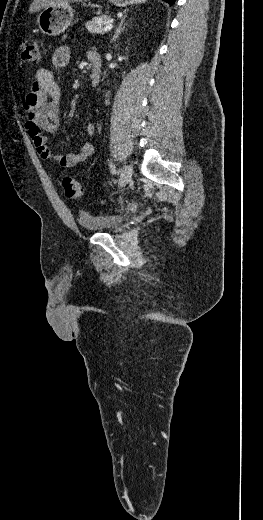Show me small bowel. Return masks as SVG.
Returning a JSON list of instances; mask_svg holds the SVG:
<instances>
[{
    "label": "small bowel",
    "mask_w": 263,
    "mask_h": 520,
    "mask_svg": "<svg viewBox=\"0 0 263 520\" xmlns=\"http://www.w3.org/2000/svg\"><path fill=\"white\" fill-rule=\"evenodd\" d=\"M71 51L68 46L58 47L52 55V65L59 70L70 61ZM61 88L52 70L41 68L36 73L35 81L24 99L26 110L25 128L31 138L38 155L46 161L54 162L63 168H72L91 158L94 146L89 140H84L81 148L75 153L56 154L47 144L43 131L54 133L60 125ZM95 124L89 122L86 126L88 136L95 133Z\"/></svg>",
    "instance_id": "c3829d8e"
}]
</instances>
